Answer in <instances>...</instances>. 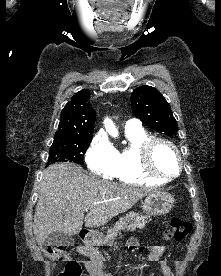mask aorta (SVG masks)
<instances>
[{"instance_id": "aorta-1", "label": "aorta", "mask_w": 221, "mask_h": 276, "mask_svg": "<svg viewBox=\"0 0 221 276\" xmlns=\"http://www.w3.org/2000/svg\"><path fill=\"white\" fill-rule=\"evenodd\" d=\"M103 123H104V126H105L107 132L111 136H113V137H117L118 136V130L115 127V124L113 123V121L111 119L106 118Z\"/></svg>"}]
</instances>
